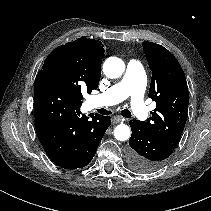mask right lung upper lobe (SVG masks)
Segmentation results:
<instances>
[{"label":"right lung upper lobe","mask_w":211,"mask_h":211,"mask_svg":"<svg viewBox=\"0 0 211 211\" xmlns=\"http://www.w3.org/2000/svg\"><path fill=\"white\" fill-rule=\"evenodd\" d=\"M57 48L70 55L88 83L96 89L101 77V61L104 57L102 42L82 37Z\"/></svg>","instance_id":"cb5924a9"}]
</instances>
